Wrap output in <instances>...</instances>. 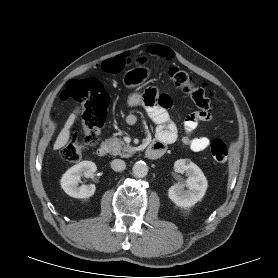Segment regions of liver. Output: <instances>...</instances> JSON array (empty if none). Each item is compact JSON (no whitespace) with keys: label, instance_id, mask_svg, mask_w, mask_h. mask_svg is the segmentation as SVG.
Here are the masks:
<instances>
[{"label":"liver","instance_id":"6515ba94","mask_svg":"<svg viewBox=\"0 0 278 278\" xmlns=\"http://www.w3.org/2000/svg\"><path fill=\"white\" fill-rule=\"evenodd\" d=\"M78 110H75L74 113H72L69 118L67 119L65 125H64V128L61 130V132L59 133L56 141H55V144H54V147L53 149L54 150H58L60 148H62L63 146L66 145V143L68 142L69 140V137H70V127L73 125L75 119H76V114Z\"/></svg>","mask_w":278,"mask_h":278}]
</instances>
